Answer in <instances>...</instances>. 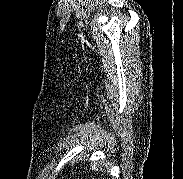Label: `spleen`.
I'll return each mask as SVG.
<instances>
[{"mask_svg":"<svg viewBox=\"0 0 183 179\" xmlns=\"http://www.w3.org/2000/svg\"><path fill=\"white\" fill-rule=\"evenodd\" d=\"M90 167H91V169L94 170V171H98V170L102 171V168H98V167L96 166V164H92Z\"/></svg>","mask_w":183,"mask_h":179,"instance_id":"3e777b00","label":"spleen"}]
</instances>
